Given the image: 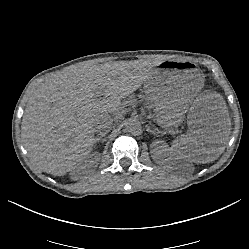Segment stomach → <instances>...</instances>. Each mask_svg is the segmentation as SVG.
Listing matches in <instances>:
<instances>
[{"instance_id":"1","label":"stomach","mask_w":249,"mask_h":249,"mask_svg":"<svg viewBox=\"0 0 249 249\" xmlns=\"http://www.w3.org/2000/svg\"><path fill=\"white\" fill-rule=\"evenodd\" d=\"M203 86V72L193 63L166 60L144 83L145 99L160 125L174 127Z\"/></svg>"}]
</instances>
